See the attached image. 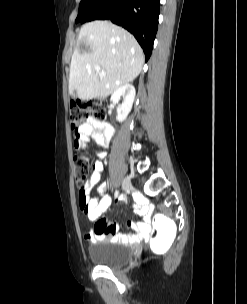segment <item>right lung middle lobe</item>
I'll return each instance as SVG.
<instances>
[{"label": "right lung middle lobe", "mask_w": 247, "mask_h": 304, "mask_svg": "<svg viewBox=\"0 0 247 304\" xmlns=\"http://www.w3.org/2000/svg\"><path fill=\"white\" fill-rule=\"evenodd\" d=\"M104 0H81L76 23L86 19Z\"/></svg>", "instance_id": "dd1d6c3e"}]
</instances>
